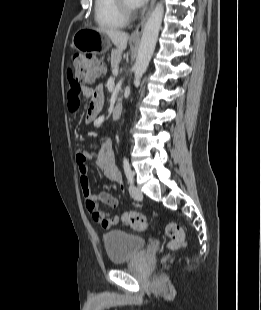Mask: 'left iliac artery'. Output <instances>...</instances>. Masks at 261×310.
<instances>
[{
    "mask_svg": "<svg viewBox=\"0 0 261 310\" xmlns=\"http://www.w3.org/2000/svg\"><path fill=\"white\" fill-rule=\"evenodd\" d=\"M123 168L128 181L133 184L134 178L127 158L123 159Z\"/></svg>",
    "mask_w": 261,
    "mask_h": 310,
    "instance_id": "left-iliac-artery-1",
    "label": "left iliac artery"
}]
</instances>
